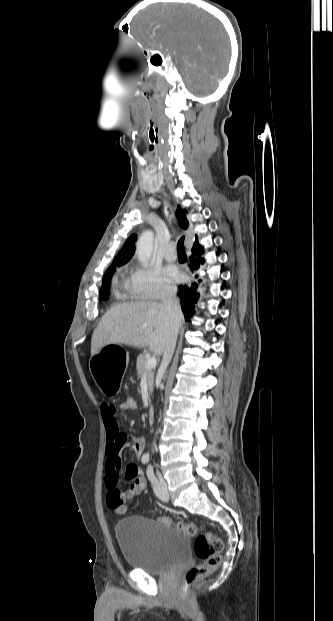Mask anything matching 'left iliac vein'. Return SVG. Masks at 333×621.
<instances>
[{
  "label": "left iliac vein",
  "mask_w": 333,
  "mask_h": 621,
  "mask_svg": "<svg viewBox=\"0 0 333 621\" xmlns=\"http://www.w3.org/2000/svg\"><path fill=\"white\" fill-rule=\"evenodd\" d=\"M154 490L158 498H160L162 501L169 500V493L167 490V485L164 479L160 475L158 477V485L156 486Z\"/></svg>",
  "instance_id": "left-iliac-vein-1"
}]
</instances>
